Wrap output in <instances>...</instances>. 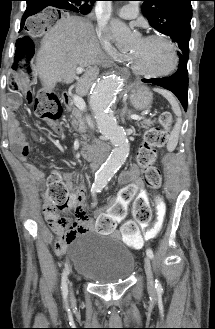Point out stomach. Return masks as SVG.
Listing matches in <instances>:
<instances>
[{"label":"stomach","mask_w":215,"mask_h":329,"mask_svg":"<svg viewBox=\"0 0 215 329\" xmlns=\"http://www.w3.org/2000/svg\"><path fill=\"white\" fill-rule=\"evenodd\" d=\"M129 99L134 109L143 111L151 107L153 95L147 87L134 85L131 88Z\"/></svg>","instance_id":"stomach-1"}]
</instances>
